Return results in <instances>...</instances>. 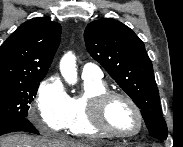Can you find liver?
<instances>
[{
	"instance_id": "6515ba94",
	"label": "liver",
	"mask_w": 183,
	"mask_h": 147,
	"mask_svg": "<svg viewBox=\"0 0 183 147\" xmlns=\"http://www.w3.org/2000/svg\"><path fill=\"white\" fill-rule=\"evenodd\" d=\"M99 142H80L66 139H47L25 134H14L0 138V147H97Z\"/></svg>"
}]
</instances>
